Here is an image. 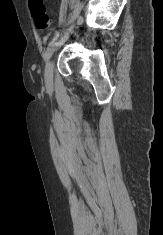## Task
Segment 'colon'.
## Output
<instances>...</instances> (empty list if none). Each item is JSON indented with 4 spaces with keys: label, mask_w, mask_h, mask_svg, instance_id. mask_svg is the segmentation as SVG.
<instances>
[{
    "label": "colon",
    "mask_w": 163,
    "mask_h": 235,
    "mask_svg": "<svg viewBox=\"0 0 163 235\" xmlns=\"http://www.w3.org/2000/svg\"><path fill=\"white\" fill-rule=\"evenodd\" d=\"M29 9L37 29L44 31L51 26L52 21L47 15L44 0H29Z\"/></svg>",
    "instance_id": "5ec220e1"
}]
</instances>
